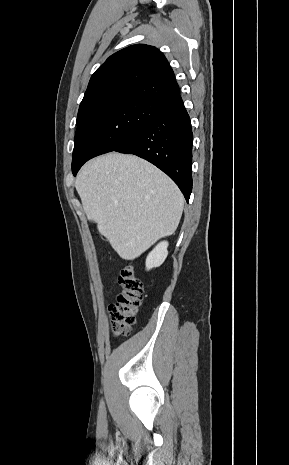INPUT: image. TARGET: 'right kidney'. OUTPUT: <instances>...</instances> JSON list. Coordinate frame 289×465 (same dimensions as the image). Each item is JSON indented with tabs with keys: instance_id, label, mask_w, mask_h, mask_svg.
<instances>
[{
	"instance_id": "right-kidney-1",
	"label": "right kidney",
	"mask_w": 289,
	"mask_h": 465,
	"mask_svg": "<svg viewBox=\"0 0 289 465\" xmlns=\"http://www.w3.org/2000/svg\"><path fill=\"white\" fill-rule=\"evenodd\" d=\"M168 242H160L147 256L146 268L150 270L152 268L159 267L166 259L168 255L167 251Z\"/></svg>"
}]
</instances>
